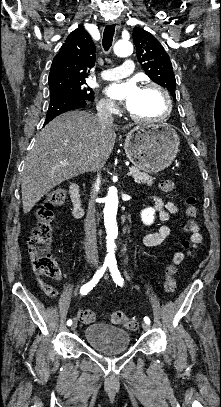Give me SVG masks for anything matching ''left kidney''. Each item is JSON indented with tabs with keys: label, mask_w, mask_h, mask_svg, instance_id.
<instances>
[{
	"label": "left kidney",
	"mask_w": 221,
	"mask_h": 407,
	"mask_svg": "<svg viewBox=\"0 0 221 407\" xmlns=\"http://www.w3.org/2000/svg\"><path fill=\"white\" fill-rule=\"evenodd\" d=\"M155 210L151 207L145 208L141 211V220L145 225H151L155 219Z\"/></svg>",
	"instance_id": "5707ae66"
}]
</instances>
